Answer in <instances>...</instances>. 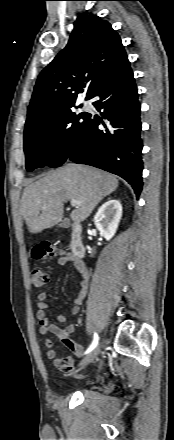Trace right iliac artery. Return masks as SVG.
<instances>
[{
    "instance_id": "right-iliac-artery-1",
    "label": "right iliac artery",
    "mask_w": 174,
    "mask_h": 440,
    "mask_svg": "<svg viewBox=\"0 0 174 440\" xmlns=\"http://www.w3.org/2000/svg\"><path fill=\"white\" fill-rule=\"evenodd\" d=\"M98 340H99V337H98L97 333L95 332V333H94L93 342H92V344L90 345V347L87 349V351L85 352V354L91 352V351L97 346V344H98Z\"/></svg>"
}]
</instances>
